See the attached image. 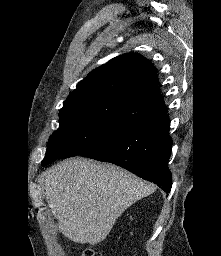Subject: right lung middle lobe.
<instances>
[{
	"mask_svg": "<svg viewBox=\"0 0 221 256\" xmlns=\"http://www.w3.org/2000/svg\"><path fill=\"white\" fill-rule=\"evenodd\" d=\"M59 117L60 127L49 139L42 165L80 155L106 138L144 121V115L131 114L115 106L75 109L60 112Z\"/></svg>",
	"mask_w": 221,
	"mask_h": 256,
	"instance_id": "obj_1",
	"label": "right lung middle lobe"
}]
</instances>
